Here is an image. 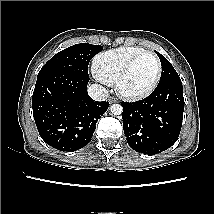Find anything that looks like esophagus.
<instances>
[{
    "instance_id": "esophagus-1",
    "label": "esophagus",
    "mask_w": 214,
    "mask_h": 214,
    "mask_svg": "<svg viewBox=\"0 0 214 214\" xmlns=\"http://www.w3.org/2000/svg\"><path fill=\"white\" fill-rule=\"evenodd\" d=\"M109 102L110 103H116V102H118V100L116 98L110 97Z\"/></svg>"
}]
</instances>
